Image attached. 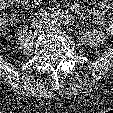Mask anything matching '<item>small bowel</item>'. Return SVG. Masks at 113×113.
<instances>
[{
  "label": "small bowel",
  "mask_w": 113,
  "mask_h": 113,
  "mask_svg": "<svg viewBox=\"0 0 113 113\" xmlns=\"http://www.w3.org/2000/svg\"><path fill=\"white\" fill-rule=\"evenodd\" d=\"M19 2H22L26 8H32L38 5L41 2V0H36V1L22 0ZM6 3L7 2H4V4ZM112 8H113V3L111 5L109 0H99L98 6L96 8H92L89 10L85 9L84 6L78 3L73 4L71 6V10L75 14L77 15L88 14L91 21L94 24L105 27L106 32L110 35H113V18L109 19L108 14Z\"/></svg>",
  "instance_id": "obj_1"
}]
</instances>
